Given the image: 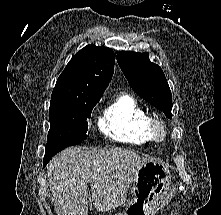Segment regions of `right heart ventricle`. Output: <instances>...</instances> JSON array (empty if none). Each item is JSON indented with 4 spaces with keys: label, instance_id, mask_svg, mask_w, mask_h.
I'll use <instances>...</instances> for the list:
<instances>
[{
    "label": "right heart ventricle",
    "instance_id": "1",
    "mask_svg": "<svg viewBox=\"0 0 221 215\" xmlns=\"http://www.w3.org/2000/svg\"><path fill=\"white\" fill-rule=\"evenodd\" d=\"M150 121L149 113L133 96L121 94L104 110L99 128L113 141L143 147L153 141Z\"/></svg>",
    "mask_w": 221,
    "mask_h": 215
}]
</instances>
